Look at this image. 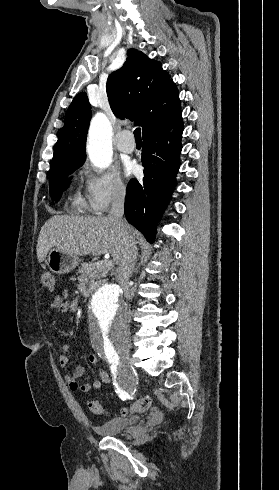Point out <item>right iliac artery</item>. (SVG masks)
I'll list each match as a JSON object with an SVG mask.
<instances>
[{
    "label": "right iliac artery",
    "instance_id": "right-iliac-artery-1",
    "mask_svg": "<svg viewBox=\"0 0 279 490\" xmlns=\"http://www.w3.org/2000/svg\"><path fill=\"white\" fill-rule=\"evenodd\" d=\"M106 359H107V361H109L112 371H116V366H118L120 363L118 352H107ZM117 384H118L117 396L121 397L123 395L124 397L122 398V401L128 402L129 401L128 397L130 394H129V389L127 386V384H128L127 379L126 378H119L117 381Z\"/></svg>",
    "mask_w": 279,
    "mask_h": 490
}]
</instances>
